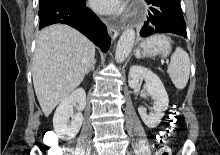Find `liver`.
Returning <instances> with one entry per match:
<instances>
[{
    "label": "liver",
    "instance_id": "obj_1",
    "mask_svg": "<svg viewBox=\"0 0 220 155\" xmlns=\"http://www.w3.org/2000/svg\"><path fill=\"white\" fill-rule=\"evenodd\" d=\"M94 57V44L70 26L55 24L40 32L33 56L32 77L46 117L80 85Z\"/></svg>",
    "mask_w": 220,
    "mask_h": 155
}]
</instances>
